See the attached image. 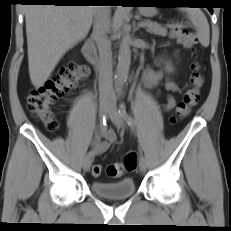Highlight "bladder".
<instances>
[{
    "label": "bladder",
    "instance_id": "1",
    "mask_svg": "<svg viewBox=\"0 0 231 231\" xmlns=\"http://www.w3.org/2000/svg\"><path fill=\"white\" fill-rule=\"evenodd\" d=\"M91 189L104 198L122 199L130 197L135 192V181L130 177L115 182L93 181Z\"/></svg>",
    "mask_w": 231,
    "mask_h": 231
}]
</instances>
